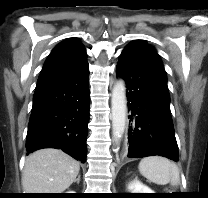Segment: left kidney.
Segmentation results:
<instances>
[{
  "mask_svg": "<svg viewBox=\"0 0 208 198\" xmlns=\"http://www.w3.org/2000/svg\"><path fill=\"white\" fill-rule=\"evenodd\" d=\"M127 188L133 193H155L148 186L144 185L143 183L137 180L130 182Z\"/></svg>",
  "mask_w": 208,
  "mask_h": 198,
  "instance_id": "1",
  "label": "left kidney"
}]
</instances>
